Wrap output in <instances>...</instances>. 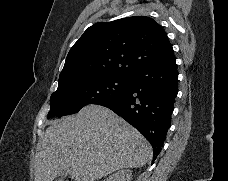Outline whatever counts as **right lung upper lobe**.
I'll return each instance as SVG.
<instances>
[{"label":"right lung upper lobe","instance_id":"cb5924a9","mask_svg":"<svg viewBox=\"0 0 228 181\" xmlns=\"http://www.w3.org/2000/svg\"><path fill=\"white\" fill-rule=\"evenodd\" d=\"M172 51L163 28L150 17L98 22L70 49L59 86L110 74L131 77Z\"/></svg>","mask_w":228,"mask_h":181}]
</instances>
